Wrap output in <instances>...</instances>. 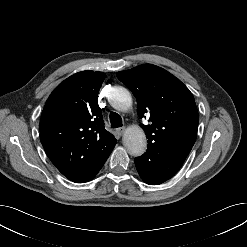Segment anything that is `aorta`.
Returning a JSON list of instances; mask_svg holds the SVG:
<instances>
[{"label":"aorta","instance_id":"obj_1","mask_svg":"<svg viewBox=\"0 0 247 247\" xmlns=\"http://www.w3.org/2000/svg\"><path fill=\"white\" fill-rule=\"evenodd\" d=\"M111 106L120 112L127 111L132 105L130 92L123 87H115L109 95ZM123 144L132 156H140L147 149V138L140 127H129L123 135Z\"/></svg>","mask_w":247,"mask_h":247}]
</instances>
